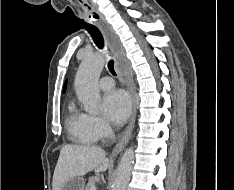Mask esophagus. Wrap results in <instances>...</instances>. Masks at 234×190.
<instances>
[{"instance_id":"esophagus-1","label":"esophagus","mask_w":234,"mask_h":190,"mask_svg":"<svg viewBox=\"0 0 234 190\" xmlns=\"http://www.w3.org/2000/svg\"><path fill=\"white\" fill-rule=\"evenodd\" d=\"M98 23H99V27L101 28L102 32L105 35V38L108 42V45H109L114 57L115 58L121 57L122 56V46L119 42L118 36L113 31L112 27L103 18H100ZM126 83H127V87L130 91L131 98H132V114H131L130 122H129L126 130L124 131L123 135L121 136V138L119 139L118 143L116 144V146L114 147V149L112 151L113 156L118 155L127 145L128 141L131 137L132 130H133L134 124H135V119H136L135 84L133 81V77H132L131 73H129V72H127Z\"/></svg>"}]
</instances>
